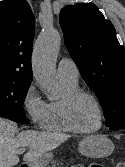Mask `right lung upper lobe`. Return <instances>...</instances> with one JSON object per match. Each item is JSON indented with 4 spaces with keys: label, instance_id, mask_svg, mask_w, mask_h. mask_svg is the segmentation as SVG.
I'll return each instance as SVG.
<instances>
[{
    "label": "right lung upper lobe",
    "instance_id": "cb5924a9",
    "mask_svg": "<svg viewBox=\"0 0 125 167\" xmlns=\"http://www.w3.org/2000/svg\"><path fill=\"white\" fill-rule=\"evenodd\" d=\"M35 19L26 1L0 2V81L31 84Z\"/></svg>",
    "mask_w": 125,
    "mask_h": 167
}]
</instances>
